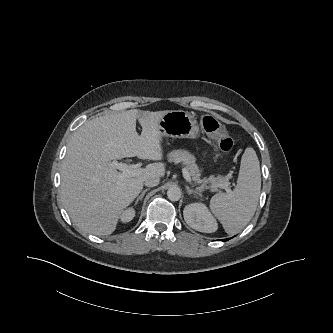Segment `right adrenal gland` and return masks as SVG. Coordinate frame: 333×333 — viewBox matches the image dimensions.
<instances>
[{
    "mask_svg": "<svg viewBox=\"0 0 333 333\" xmlns=\"http://www.w3.org/2000/svg\"><path fill=\"white\" fill-rule=\"evenodd\" d=\"M149 190V188H146L142 191V193L137 197L136 201H135V205L138 203L139 200H142L145 193Z\"/></svg>",
    "mask_w": 333,
    "mask_h": 333,
    "instance_id": "2a0ac1e0",
    "label": "right adrenal gland"
}]
</instances>
